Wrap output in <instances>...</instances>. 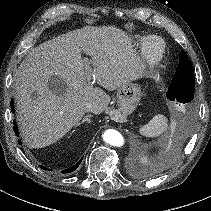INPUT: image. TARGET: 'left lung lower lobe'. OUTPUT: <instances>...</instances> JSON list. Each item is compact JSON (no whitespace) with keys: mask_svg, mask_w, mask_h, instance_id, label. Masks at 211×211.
Masks as SVG:
<instances>
[{"mask_svg":"<svg viewBox=\"0 0 211 211\" xmlns=\"http://www.w3.org/2000/svg\"><path fill=\"white\" fill-rule=\"evenodd\" d=\"M188 122H189V119H188L187 117H184L183 123H184V124H188Z\"/></svg>","mask_w":211,"mask_h":211,"instance_id":"1","label":"left lung lower lobe"}]
</instances>
